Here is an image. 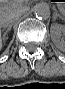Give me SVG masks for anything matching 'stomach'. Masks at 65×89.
I'll use <instances>...</instances> for the list:
<instances>
[{
	"label": "stomach",
	"mask_w": 65,
	"mask_h": 89,
	"mask_svg": "<svg viewBox=\"0 0 65 89\" xmlns=\"http://www.w3.org/2000/svg\"><path fill=\"white\" fill-rule=\"evenodd\" d=\"M60 16L63 18L65 15V4L59 5Z\"/></svg>",
	"instance_id": "1"
}]
</instances>
